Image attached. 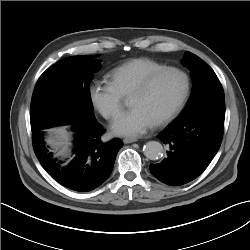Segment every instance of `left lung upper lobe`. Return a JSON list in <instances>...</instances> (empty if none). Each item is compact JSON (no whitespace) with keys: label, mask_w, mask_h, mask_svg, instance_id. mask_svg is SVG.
<instances>
[{"label":"left lung upper lobe","mask_w":250,"mask_h":250,"mask_svg":"<svg viewBox=\"0 0 250 250\" xmlns=\"http://www.w3.org/2000/svg\"><path fill=\"white\" fill-rule=\"evenodd\" d=\"M182 64L190 70L193 88L186 108L178 118H182L214 101L224 99L221 83L215 72L206 62L187 51Z\"/></svg>","instance_id":"obj_1"}]
</instances>
